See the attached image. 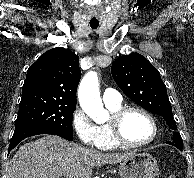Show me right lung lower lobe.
Segmentation results:
<instances>
[{"instance_id": "98d812e1", "label": "right lung lower lobe", "mask_w": 194, "mask_h": 178, "mask_svg": "<svg viewBox=\"0 0 194 178\" xmlns=\"http://www.w3.org/2000/svg\"><path fill=\"white\" fill-rule=\"evenodd\" d=\"M38 134H53V135H58L70 141L73 140V134L59 133L52 129L44 128V127H25L21 129H16L14 131V134L12 136V139L9 145L8 154L23 139L30 136L38 135Z\"/></svg>"}]
</instances>
